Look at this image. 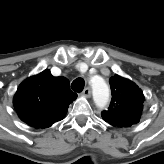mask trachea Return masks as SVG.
I'll list each match as a JSON object with an SVG mask.
<instances>
[{
	"label": "trachea",
	"mask_w": 164,
	"mask_h": 164,
	"mask_svg": "<svg viewBox=\"0 0 164 164\" xmlns=\"http://www.w3.org/2000/svg\"><path fill=\"white\" fill-rule=\"evenodd\" d=\"M84 86H85V81L81 77L75 79L71 84V88L75 92H81Z\"/></svg>",
	"instance_id": "1"
}]
</instances>
